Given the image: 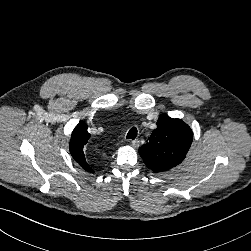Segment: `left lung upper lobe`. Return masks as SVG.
Returning a JSON list of instances; mask_svg holds the SVG:
<instances>
[{
  "label": "left lung upper lobe",
  "instance_id": "obj_1",
  "mask_svg": "<svg viewBox=\"0 0 251 251\" xmlns=\"http://www.w3.org/2000/svg\"><path fill=\"white\" fill-rule=\"evenodd\" d=\"M192 139V130L181 119L160 115L157 128L149 141L139 148V153L146 166L155 173L167 171L184 160Z\"/></svg>",
  "mask_w": 251,
  "mask_h": 251
}]
</instances>
